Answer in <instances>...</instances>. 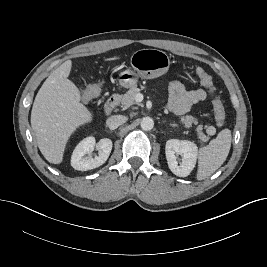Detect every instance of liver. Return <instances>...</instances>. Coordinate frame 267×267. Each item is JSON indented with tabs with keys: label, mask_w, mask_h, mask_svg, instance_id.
<instances>
[{
	"label": "liver",
	"mask_w": 267,
	"mask_h": 267,
	"mask_svg": "<svg viewBox=\"0 0 267 267\" xmlns=\"http://www.w3.org/2000/svg\"><path fill=\"white\" fill-rule=\"evenodd\" d=\"M116 58H111L114 60ZM72 61L55 69L39 89L31 111V126L45 159L60 164L70 136L92 121V113L81 103L78 87L68 79Z\"/></svg>",
	"instance_id": "6515ba94"
}]
</instances>
